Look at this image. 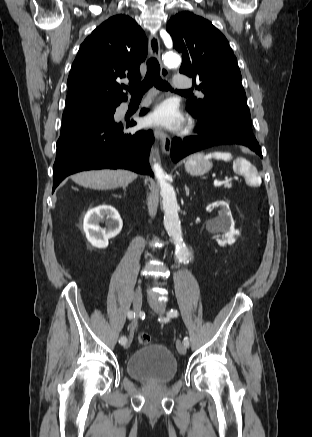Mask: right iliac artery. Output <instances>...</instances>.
I'll return each instance as SVG.
<instances>
[{
  "label": "right iliac artery",
  "mask_w": 312,
  "mask_h": 437,
  "mask_svg": "<svg viewBox=\"0 0 312 437\" xmlns=\"http://www.w3.org/2000/svg\"><path fill=\"white\" fill-rule=\"evenodd\" d=\"M128 318H129V319H133V318H135V312H133V311H129V312H128ZM126 341H127V338H126L125 336H122V337L119 339V343H120V344H124Z\"/></svg>",
  "instance_id": "82829eb1"
}]
</instances>
